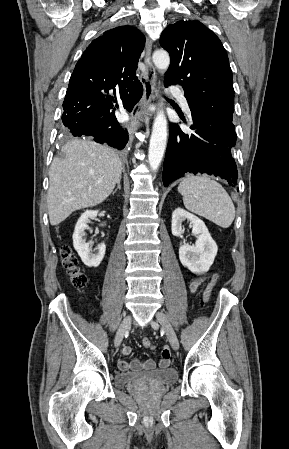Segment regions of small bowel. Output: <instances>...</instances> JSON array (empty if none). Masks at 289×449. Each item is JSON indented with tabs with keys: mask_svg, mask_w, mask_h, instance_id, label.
Instances as JSON below:
<instances>
[{
	"mask_svg": "<svg viewBox=\"0 0 289 449\" xmlns=\"http://www.w3.org/2000/svg\"><path fill=\"white\" fill-rule=\"evenodd\" d=\"M202 279L201 278H197L195 279L191 285H190V289L192 292H195L199 286L201 285ZM149 349L153 348V345L150 344L148 347ZM132 352V349L129 346H125L122 349V353L123 355H130ZM171 348L169 346H164L162 348V353L159 356L160 359V366L162 369H169L172 366L171 363ZM156 367V363L154 360L152 359H133L132 361L128 362L126 360H120L118 362V368L121 371H128V370H141V369H145V370H152Z\"/></svg>",
	"mask_w": 289,
	"mask_h": 449,
	"instance_id": "small-bowel-1",
	"label": "small bowel"
}]
</instances>
